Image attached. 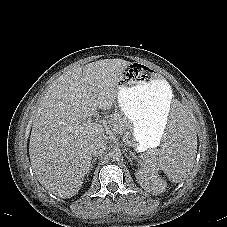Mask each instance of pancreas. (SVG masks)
<instances>
[{
	"label": "pancreas",
	"instance_id": "1",
	"mask_svg": "<svg viewBox=\"0 0 227 227\" xmlns=\"http://www.w3.org/2000/svg\"><path fill=\"white\" fill-rule=\"evenodd\" d=\"M108 122L113 131L119 134L126 131V129L130 126V122L126 119V117L119 113H114Z\"/></svg>",
	"mask_w": 227,
	"mask_h": 227
}]
</instances>
